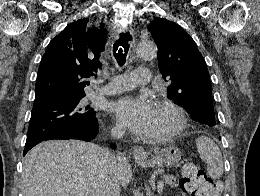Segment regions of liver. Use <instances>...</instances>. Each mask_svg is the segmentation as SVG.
Listing matches in <instances>:
<instances>
[{
	"label": "liver",
	"mask_w": 260,
	"mask_h": 196,
	"mask_svg": "<svg viewBox=\"0 0 260 196\" xmlns=\"http://www.w3.org/2000/svg\"><path fill=\"white\" fill-rule=\"evenodd\" d=\"M111 154L91 142L47 140L24 158L22 184L25 196H105L107 164ZM117 178L121 186L132 180L131 164L118 156Z\"/></svg>",
	"instance_id": "obj_1"
}]
</instances>
